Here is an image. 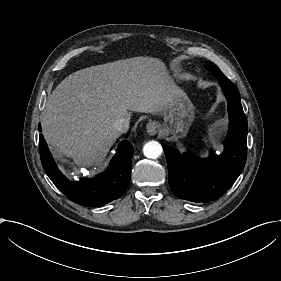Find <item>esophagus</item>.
<instances>
[{"label":"esophagus","instance_id":"1","mask_svg":"<svg viewBox=\"0 0 281 281\" xmlns=\"http://www.w3.org/2000/svg\"><path fill=\"white\" fill-rule=\"evenodd\" d=\"M158 130V125L155 121H151L146 126V131L149 135H155Z\"/></svg>","mask_w":281,"mask_h":281}]
</instances>
